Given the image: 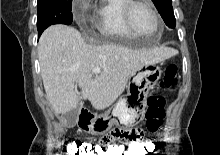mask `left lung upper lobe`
<instances>
[{
    "instance_id": "5c2ea615",
    "label": "left lung upper lobe",
    "mask_w": 220,
    "mask_h": 155,
    "mask_svg": "<svg viewBox=\"0 0 220 155\" xmlns=\"http://www.w3.org/2000/svg\"><path fill=\"white\" fill-rule=\"evenodd\" d=\"M164 22L169 28H175V17L171 0H152Z\"/></svg>"
}]
</instances>
